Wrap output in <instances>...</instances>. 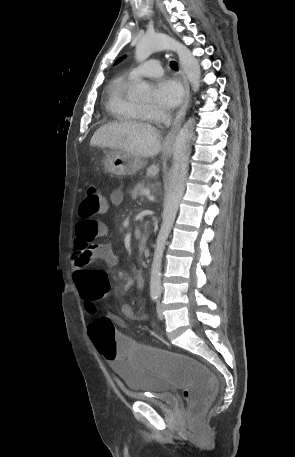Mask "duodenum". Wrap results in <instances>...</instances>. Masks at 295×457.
<instances>
[{
  "instance_id": "duodenum-1",
  "label": "duodenum",
  "mask_w": 295,
  "mask_h": 457,
  "mask_svg": "<svg viewBox=\"0 0 295 457\" xmlns=\"http://www.w3.org/2000/svg\"><path fill=\"white\" fill-rule=\"evenodd\" d=\"M146 245H147V237L145 235H142L139 239V250L144 251Z\"/></svg>"
}]
</instances>
